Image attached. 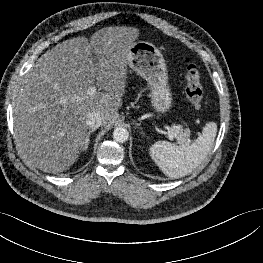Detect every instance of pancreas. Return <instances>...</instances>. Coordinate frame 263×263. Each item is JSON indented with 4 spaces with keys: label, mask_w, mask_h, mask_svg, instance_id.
Returning a JSON list of instances; mask_svg holds the SVG:
<instances>
[{
    "label": "pancreas",
    "mask_w": 263,
    "mask_h": 263,
    "mask_svg": "<svg viewBox=\"0 0 263 263\" xmlns=\"http://www.w3.org/2000/svg\"><path fill=\"white\" fill-rule=\"evenodd\" d=\"M174 135L177 136L178 140L183 143L190 137V131L188 129H183L181 125L173 126L172 131Z\"/></svg>",
    "instance_id": "cf45deb5"
}]
</instances>
